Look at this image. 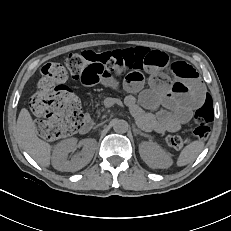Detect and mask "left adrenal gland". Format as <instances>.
<instances>
[{"mask_svg":"<svg viewBox=\"0 0 231 231\" xmlns=\"http://www.w3.org/2000/svg\"><path fill=\"white\" fill-rule=\"evenodd\" d=\"M134 135L136 134H140L141 136H145V137H149V135L143 133L142 131H140L139 129L135 128L133 129Z\"/></svg>","mask_w":231,"mask_h":231,"instance_id":"obj_1","label":"left adrenal gland"}]
</instances>
